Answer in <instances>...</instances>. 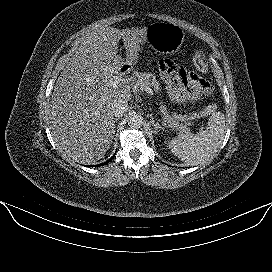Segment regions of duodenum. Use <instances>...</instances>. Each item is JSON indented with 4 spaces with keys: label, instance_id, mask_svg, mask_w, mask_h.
<instances>
[{
    "label": "duodenum",
    "instance_id": "1",
    "mask_svg": "<svg viewBox=\"0 0 272 272\" xmlns=\"http://www.w3.org/2000/svg\"><path fill=\"white\" fill-rule=\"evenodd\" d=\"M128 70L125 68V67H122L121 69H120V72L121 73H126Z\"/></svg>",
    "mask_w": 272,
    "mask_h": 272
}]
</instances>
